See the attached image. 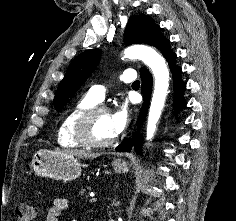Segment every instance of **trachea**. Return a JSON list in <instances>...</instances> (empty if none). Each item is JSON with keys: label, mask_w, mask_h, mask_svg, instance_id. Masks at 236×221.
Returning <instances> with one entry per match:
<instances>
[{"label": "trachea", "mask_w": 236, "mask_h": 221, "mask_svg": "<svg viewBox=\"0 0 236 221\" xmlns=\"http://www.w3.org/2000/svg\"><path fill=\"white\" fill-rule=\"evenodd\" d=\"M133 85H140V81L136 80L135 82H133Z\"/></svg>", "instance_id": "trachea-1"}]
</instances>
